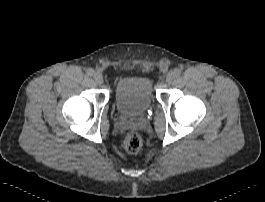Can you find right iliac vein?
Wrapping results in <instances>:
<instances>
[{"label": "right iliac vein", "mask_w": 265, "mask_h": 202, "mask_svg": "<svg viewBox=\"0 0 265 202\" xmlns=\"http://www.w3.org/2000/svg\"><path fill=\"white\" fill-rule=\"evenodd\" d=\"M93 78H94V81H95L97 84H102V83H103V78H102V76H101L100 73L95 72V73L93 74Z\"/></svg>", "instance_id": "right-iliac-vein-1"}]
</instances>
